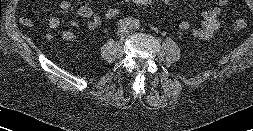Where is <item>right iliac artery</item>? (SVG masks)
I'll use <instances>...</instances> for the list:
<instances>
[{
    "instance_id": "82829eb1",
    "label": "right iliac artery",
    "mask_w": 253,
    "mask_h": 131,
    "mask_svg": "<svg viewBox=\"0 0 253 131\" xmlns=\"http://www.w3.org/2000/svg\"><path fill=\"white\" fill-rule=\"evenodd\" d=\"M134 20H132L131 18H125V19H121L118 22V26H120L121 28H126L128 26H131V24L133 23Z\"/></svg>"
}]
</instances>
